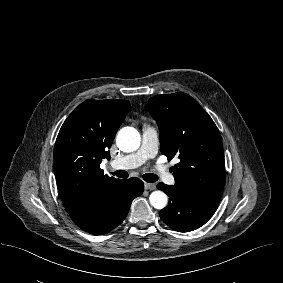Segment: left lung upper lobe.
<instances>
[{"label": "left lung upper lobe", "mask_w": 283, "mask_h": 283, "mask_svg": "<svg viewBox=\"0 0 283 283\" xmlns=\"http://www.w3.org/2000/svg\"><path fill=\"white\" fill-rule=\"evenodd\" d=\"M147 109L159 127L162 154L180 159L173 168L176 184L218 203L225 164L221 135L208 113L185 93L156 95Z\"/></svg>", "instance_id": "1"}]
</instances>
